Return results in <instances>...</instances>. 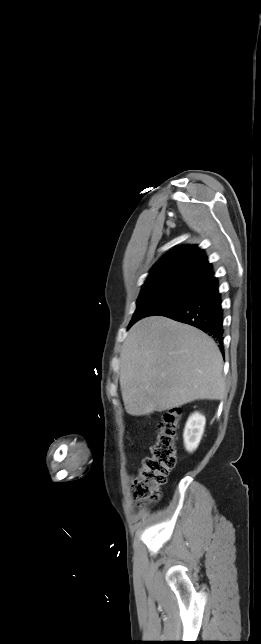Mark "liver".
Here are the masks:
<instances>
[{
	"label": "liver",
	"instance_id": "obj_1",
	"mask_svg": "<svg viewBox=\"0 0 261 644\" xmlns=\"http://www.w3.org/2000/svg\"><path fill=\"white\" fill-rule=\"evenodd\" d=\"M125 410L149 415L226 394L223 358L212 338L163 316L138 321L120 353Z\"/></svg>",
	"mask_w": 261,
	"mask_h": 644
}]
</instances>
